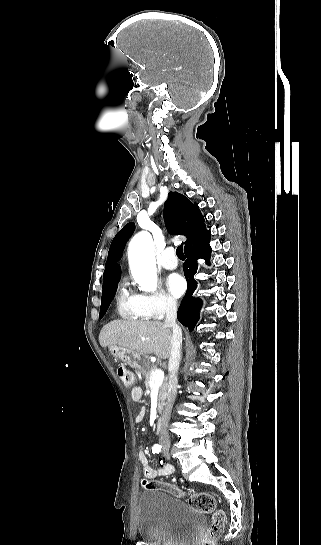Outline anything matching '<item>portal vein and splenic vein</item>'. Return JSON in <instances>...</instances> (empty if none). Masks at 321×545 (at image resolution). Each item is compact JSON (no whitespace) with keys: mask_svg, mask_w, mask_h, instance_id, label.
I'll return each mask as SVG.
<instances>
[{"mask_svg":"<svg viewBox=\"0 0 321 545\" xmlns=\"http://www.w3.org/2000/svg\"><path fill=\"white\" fill-rule=\"evenodd\" d=\"M164 379V371H161V369H156V371H152L151 377H150V387H160L162 385Z\"/></svg>","mask_w":321,"mask_h":545,"instance_id":"portal-vein-and-splenic-vein-1","label":"portal vein and splenic vein"}]
</instances>
